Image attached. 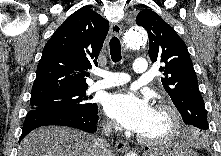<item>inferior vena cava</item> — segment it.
<instances>
[{"mask_svg": "<svg viewBox=\"0 0 221 156\" xmlns=\"http://www.w3.org/2000/svg\"><path fill=\"white\" fill-rule=\"evenodd\" d=\"M114 128V125L112 123H109L107 124L106 128H105V133L108 135L110 133V131ZM101 148H102V151H103V156H106V153H107V146L104 145L102 142H101Z\"/></svg>", "mask_w": 221, "mask_h": 156, "instance_id": "inferior-vena-cava-1", "label": "inferior vena cava"}]
</instances>
